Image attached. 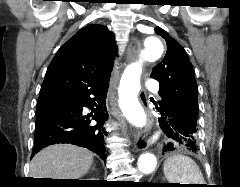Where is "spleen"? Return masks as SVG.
<instances>
[{
    "mask_svg": "<svg viewBox=\"0 0 240 187\" xmlns=\"http://www.w3.org/2000/svg\"><path fill=\"white\" fill-rule=\"evenodd\" d=\"M164 174L170 183L204 184V178L197 164L188 156L175 155L164 163Z\"/></svg>",
    "mask_w": 240,
    "mask_h": 187,
    "instance_id": "spleen-1",
    "label": "spleen"
}]
</instances>
